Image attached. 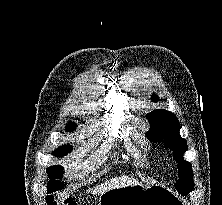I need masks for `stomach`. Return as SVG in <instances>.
I'll list each match as a JSON object with an SVG mask.
<instances>
[{
	"label": "stomach",
	"instance_id": "stomach-1",
	"mask_svg": "<svg viewBox=\"0 0 222 205\" xmlns=\"http://www.w3.org/2000/svg\"><path fill=\"white\" fill-rule=\"evenodd\" d=\"M99 205H186V201L161 184H134L101 194Z\"/></svg>",
	"mask_w": 222,
	"mask_h": 205
}]
</instances>
